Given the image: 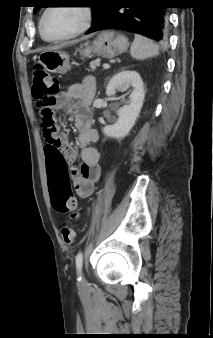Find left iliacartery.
<instances>
[{
  "instance_id": "obj_1",
  "label": "left iliac artery",
  "mask_w": 213,
  "mask_h": 338,
  "mask_svg": "<svg viewBox=\"0 0 213 338\" xmlns=\"http://www.w3.org/2000/svg\"><path fill=\"white\" fill-rule=\"evenodd\" d=\"M75 260H76L77 271H78V273H80L81 269H82V265H83V254H82V252H79L76 255ZM79 279H81V277Z\"/></svg>"
}]
</instances>
